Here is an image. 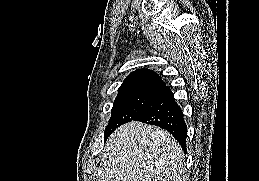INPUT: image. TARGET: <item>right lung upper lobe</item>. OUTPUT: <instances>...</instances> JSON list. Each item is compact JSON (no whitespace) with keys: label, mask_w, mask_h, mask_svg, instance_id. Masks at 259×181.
<instances>
[{"label":"right lung upper lobe","mask_w":259,"mask_h":181,"mask_svg":"<svg viewBox=\"0 0 259 181\" xmlns=\"http://www.w3.org/2000/svg\"><path fill=\"white\" fill-rule=\"evenodd\" d=\"M163 81L159 75L153 70L137 69L131 72L123 81L122 87L136 86V85H162Z\"/></svg>","instance_id":"1"}]
</instances>
